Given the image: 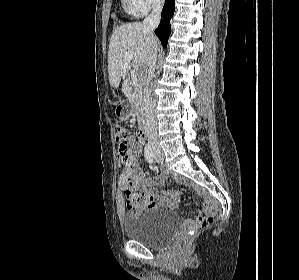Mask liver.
<instances>
[{"instance_id": "1", "label": "liver", "mask_w": 299, "mask_h": 280, "mask_svg": "<svg viewBox=\"0 0 299 280\" xmlns=\"http://www.w3.org/2000/svg\"><path fill=\"white\" fill-rule=\"evenodd\" d=\"M129 51L134 53L132 59L134 68L146 69L148 67L150 45L142 23L120 25L111 36L108 50V73L109 82L115 88L119 86L121 78L125 79L130 69V62L125 61V53ZM122 92L126 97L130 95L127 80H124Z\"/></svg>"}]
</instances>
